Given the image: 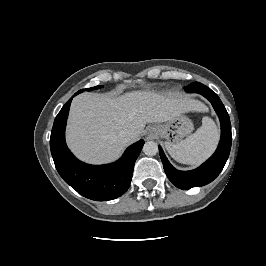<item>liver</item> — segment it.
<instances>
[{
    "label": "liver",
    "instance_id": "1",
    "mask_svg": "<svg viewBox=\"0 0 266 266\" xmlns=\"http://www.w3.org/2000/svg\"><path fill=\"white\" fill-rule=\"evenodd\" d=\"M201 110L203 105L194 99L152 91H132L119 97L83 93L71 104L67 142L86 162H109L127 144L118 136L121 130L130 131V142H135L146 123L166 122L182 113Z\"/></svg>",
    "mask_w": 266,
    "mask_h": 266
}]
</instances>
